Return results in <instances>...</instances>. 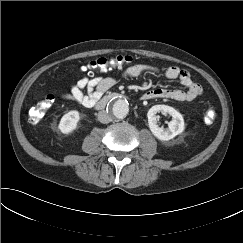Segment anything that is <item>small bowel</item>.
I'll return each instance as SVG.
<instances>
[{
	"mask_svg": "<svg viewBox=\"0 0 243 243\" xmlns=\"http://www.w3.org/2000/svg\"><path fill=\"white\" fill-rule=\"evenodd\" d=\"M146 73L157 75L160 73V70L147 64H135L126 68L122 73V77L135 78ZM164 76L171 80H178L186 87V90L153 88L147 90L143 94L142 99L166 98L178 102H192L201 96V86L193 80L186 70L178 67H169L164 71ZM116 81V78L110 76H85L74 83L70 87L69 92L62 94L61 97L84 107H93L103 93L116 84Z\"/></svg>",
	"mask_w": 243,
	"mask_h": 243,
	"instance_id": "c3829d8e",
	"label": "small bowel"
}]
</instances>
